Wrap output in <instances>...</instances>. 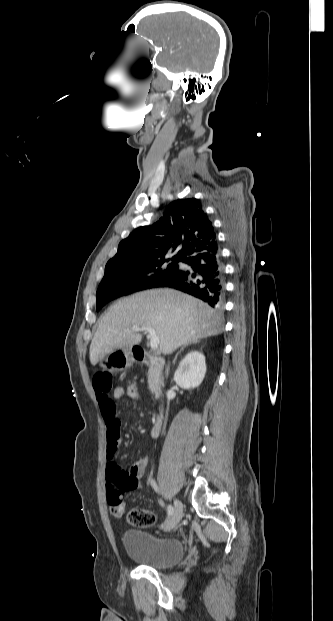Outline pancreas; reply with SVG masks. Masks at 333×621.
Wrapping results in <instances>:
<instances>
[{
  "mask_svg": "<svg viewBox=\"0 0 333 621\" xmlns=\"http://www.w3.org/2000/svg\"><path fill=\"white\" fill-rule=\"evenodd\" d=\"M158 374L155 370L150 369L148 372V386L150 391L154 394L157 391Z\"/></svg>",
  "mask_w": 333,
  "mask_h": 621,
  "instance_id": "cf45deb5",
  "label": "pancreas"
}]
</instances>
